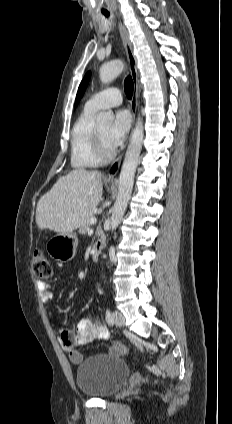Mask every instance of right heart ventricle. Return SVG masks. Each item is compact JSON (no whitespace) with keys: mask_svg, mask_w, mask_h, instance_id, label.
Returning <instances> with one entry per match:
<instances>
[{"mask_svg":"<svg viewBox=\"0 0 232 424\" xmlns=\"http://www.w3.org/2000/svg\"><path fill=\"white\" fill-rule=\"evenodd\" d=\"M96 112L85 106L73 126L71 136V165L74 169L82 170L102 164L94 152V117Z\"/></svg>","mask_w":232,"mask_h":424,"instance_id":"obj_1","label":"right heart ventricle"}]
</instances>
